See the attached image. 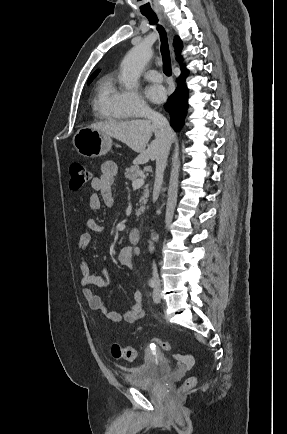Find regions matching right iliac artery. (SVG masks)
<instances>
[{"instance_id": "obj_1", "label": "right iliac artery", "mask_w": 287, "mask_h": 434, "mask_svg": "<svg viewBox=\"0 0 287 434\" xmlns=\"http://www.w3.org/2000/svg\"><path fill=\"white\" fill-rule=\"evenodd\" d=\"M149 286H150L151 288L156 287V280H155L154 278H151V279L149 280Z\"/></svg>"}]
</instances>
